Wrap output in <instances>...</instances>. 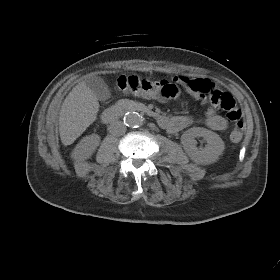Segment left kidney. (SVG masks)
Listing matches in <instances>:
<instances>
[{"label":"left kidney","mask_w":280,"mask_h":280,"mask_svg":"<svg viewBox=\"0 0 280 280\" xmlns=\"http://www.w3.org/2000/svg\"><path fill=\"white\" fill-rule=\"evenodd\" d=\"M197 136H201L207 141L204 148L196 147L194 138ZM181 141L188 156L196 162L215 161L224 150V142L219 135L205 128H190L182 135Z\"/></svg>","instance_id":"obj_1"}]
</instances>
